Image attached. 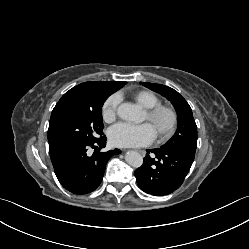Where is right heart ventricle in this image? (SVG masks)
I'll list each match as a JSON object with an SVG mask.
<instances>
[{
  "mask_svg": "<svg viewBox=\"0 0 249 249\" xmlns=\"http://www.w3.org/2000/svg\"><path fill=\"white\" fill-rule=\"evenodd\" d=\"M130 96L142 107L151 108L160 104L159 97L149 90H138L130 94Z\"/></svg>",
  "mask_w": 249,
  "mask_h": 249,
  "instance_id": "e07e8e85",
  "label": "right heart ventricle"
}]
</instances>
